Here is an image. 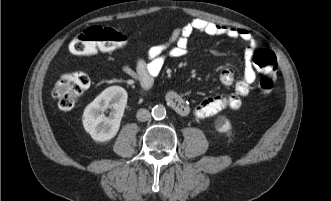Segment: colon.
<instances>
[{
	"label": "colon",
	"instance_id": "obj_1",
	"mask_svg": "<svg viewBox=\"0 0 331 201\" xmlns=\"http://www.w3.org/2000/svg\"><path fill=\"white\" fill-rule=\"evenodd\" d=\"M128 42L125 34L110 27L92 26L77 35L70 43V51L76 55H93L111 52L124 47ZM253 62L262 71L259 90L269 94L274 86L277 71L275 54L268 49H259L253 55ZM90 78L84 71L66 72L58 79L53 96L63 110L75 106L80 96L88 89Z\"/></svg>",
	"mask_w": 331,
	"mask_h": 201
}]
</instances>
